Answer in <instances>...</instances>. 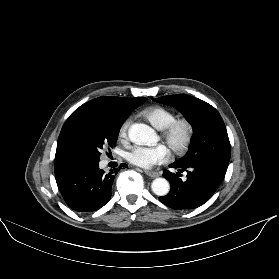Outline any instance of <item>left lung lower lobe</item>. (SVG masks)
Returning <instances> with one entry per match:
<instances>
[{
  "label": "left lung lower lobe",
  "instance_id": "obj_1",
  "mask_svg": "<svg viewBox=\"0 0 279 279\" xmlns=\"http://www.w3.org/2000/svg\"><path fill=\"white\" fill-rule=\"evenodd\" d=\"M178 169L176 174L168 170L163 176L170 181V192L160 201L173 209H194L208 201L224 179L225 172L207 163H193L187 166L171 164ZM187 172V179L181 180V172Z\"/></svg>",
  "mask_w": 279,
  "mask_h": 279
}]
</instances>
